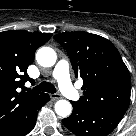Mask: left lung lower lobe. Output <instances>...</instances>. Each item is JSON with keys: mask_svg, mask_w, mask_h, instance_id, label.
I'll return each mask as SVG.
<instances>
[{"mask_svg": "<svg viewBox=\"0 0 136 136\" xmlns=\"http://www.w3.org/2000/svg\"><path fill=\"white\" fill-rule=\"evenodd\" d=\"M73 112L62 120L64 126L77 136H106L118 125L122 114L94 109L71 102Z\"/></svg>", "mask_w": 136, "mask_h": 136, "instance_id": "left-lung-lower-lobe-1", "label": "left lung lower lobe"}]
</instances>
